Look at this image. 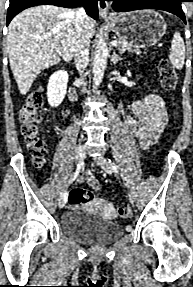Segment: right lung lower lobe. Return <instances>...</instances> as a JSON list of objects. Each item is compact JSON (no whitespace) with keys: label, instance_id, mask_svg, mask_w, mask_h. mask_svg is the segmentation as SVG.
<instances>
[{"label":"right lung lower lobe","instance_id":"1","mask_svg":"<svg viewBox=\"0 0 193 287\" xmlns=\"http://www.w3.org/2000/svg\"><path fill=\"white\" fill-rule=\"evenodd\" d=\"M98 0H10L7 12V25L22 10L38 5H55L66 8L84 6L86 13L93 19L98 18Z\"/></svg>","mask_w":193,"mask_h":287}]
</instances>
